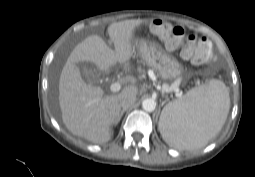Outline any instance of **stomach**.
<instances>
[{
  "label": "stomach",
  "mask_w": 255,
  "mask_h": 177,
  "mask_svg": "<svg viewBox=\"0 0 255 177\" xmlns=\"http://www.w3.org/2000/svg\"><path fill=\"white\" fill-rule=\"evenodd\" d=\"M135 47L141 59L163 79L173 80L181 75V64L159 45L145 40H136Z\"/></svg>",
  "instance_id": "stomach-1"
}]
</instances>
